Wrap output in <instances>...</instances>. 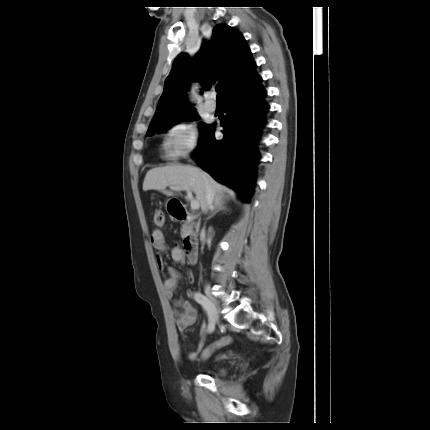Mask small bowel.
<instances>
[{
	"label": "small bowel",
	"instance_id": "c3829d8e",
	"mask_svg": "<svg viewBox=\"0 0 430 430\" xmlns=\"http://www.w3.org/2000/svg\"><path fill=\"white\" fill-rule=\"evenodd\" d=\"M151 242L154 248L157 250L158 255L156 258V264L159 269L164 268V261L162 255L166 253L169 248L166 244L164 234L160 229H154L151 234ZM170 254L173 261L182 263L185 258L184 251L178 247L174 246L170 249ZM168 276L163 282V287L165 289L166 295L169 299L174 298L175 291L177 289V285L180 279L179 271L174 267L167 268ZM186 280L189 283L194 282V275L191 271H187L185 274ZM174 305L176 307V326L179 330H185L189 326H191L197 319V308L191 301L177 299L174 301ZM208 325L203 326L200 332V340L197 343L196 349L191 351L188 354L189 360H195L199 356V354L203 353L205 350V337L207 335Z\"/></svg>",
	"mask_w": 430,
	"mask_h": 430
}]
</instances>
